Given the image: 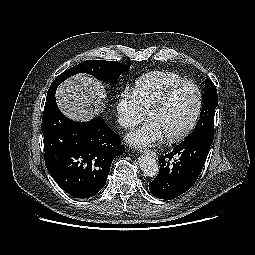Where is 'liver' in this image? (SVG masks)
Wrapping results in <instances>:
<instances>
[{
  "label": "liver",
  "mask_w": 255,
  "mask_h": 255,
  "mask_svg": "<svg viewBox=\"0 0 255 255\" xmlns=\"http://www.w3.org/2000/svg\"><path fill=\"white\" fill-rule=\"evenodd\" d=\"M56 96L64 115L75 121H87L103 110L106 92L99 81L79 74L63 82Z\"/></svg>",
  "instance_id": "1"
}]
</instances>
